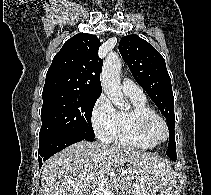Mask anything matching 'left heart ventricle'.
<instances>
[{
	"label": "left heart ventricle",
	"mask_w": 211,
	"mask_h": 195,
	"mask_svg": "<svg viewBox=\"0 0 211 195\" xmlns=\"http://www.w3.org/2000/svg\"><path fill=\"white\" fill-rule=\"evenodd\" d=\"M150 133L155 141H161L165 136L164 127L158 121L151 126Z\"/></svg>",
	"instance_id": "left-heart-ventricle-1"
}]
</instances>
